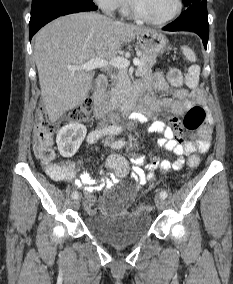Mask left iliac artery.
<instances>
[{
  "label": "left iliac artery",
  "instance_id": "obj_1",
  "mask_svg": "<svg viewBox=\"0 0 233 284\" xmlns=\"http://www.w3.org/2000/svg\"><path fill=\"white\" fill-rule=\"evenodd\" d=\"M120 132V130H118L117 131V133H119ZM125 144V142L124 141H118V142H115V143H113L112 144V146L113 147H116V148H120V147H122L123 145ZM160 196L162 197V198H167V192L165 191V190H162L161 192H160Z\"/></svg>",
  "mask_w": 233,
  "mask_h": 284
}]
</instances>
